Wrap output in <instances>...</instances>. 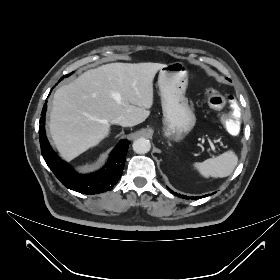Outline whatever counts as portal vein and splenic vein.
Wrapping results in <instances>:
<instances>
[{
	"label": "portal vein and splenic vein",
	"instance_id": "18ae733b",
	"mask_svg": "<svg viewBox=\"0 0 280 280\" xmlns=\"http://www.w3.org/2000/svg\"><path fill=\"white\" fill-rule=\"evenodd\" d=\"M208 142H209V144H210L211 148H212L213 150H215V147H214V145H213L212 141H211L210 139H208Z\"/></svg>",
	"mask_w": 280,
	"mask_h": 280
}]
</instances>
